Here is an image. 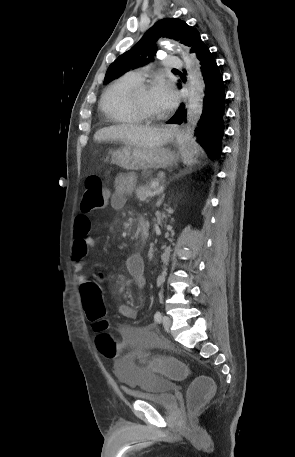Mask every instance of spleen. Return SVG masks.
Masks as SVG:
<instances>
[{
    "mask_svg": "<svg viewBox=\"0 0 295 457\" xmlns=\"http://www.w3.org/2000/svg\"><path fill=\"white\" fill-rule=\"evenodd\" d=\"M177 140L181 145L180 153L183 163L186 165L196 163L195 156L198 155L199 152L197 145L194 142L184 143L180 135H177Z\"/></svg>",
    "mask_w": 295,
    "mask_h": 457,
    "instance_id": "spleen-1",
    "label": "spleen"
}]
</instances>
